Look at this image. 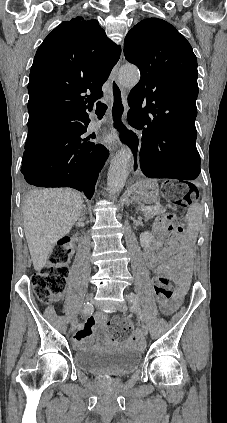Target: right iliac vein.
Segmentation results:
<instances>
[{
	"instance_id": "63e3f726",
	"label": "right iliac vein",
	"mask_w": 227,
	"mask_h": 423,
	"mask_svg": "<svg viewBox=\"0 0 227 423\" xmlns=\"http://www.w3.org/2000/svg\"><path fill=\"white\" fill-rule=\"evenodd\" d=\"M93 297H94V295H93L92 293L88 294V295H87V297H86V301H87V302L92 301V300H93ZM77 322H78V318H77V317H75V318L73 319V321H72V324H71L72 330H75V329H76V327H77Z\"/></svg>"
}]
</instances>
